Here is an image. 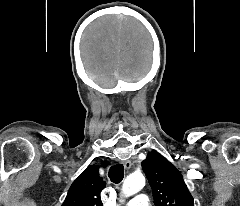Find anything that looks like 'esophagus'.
I'll use <instances>...</instances> for the list:
<instances>
[{
	"label": "esophagus",
	"instance_id": "1",
	"mask_svg": "<svg viewBox=\"0 0 240 206\" xmlns=\"http://www.w3.org/2000/svg\"><path fill=\"white\" fill-rule=\"evenodd\" d=\"M122 163L126 169H130V167L132 165L130 160L123 161Z\"/></svg>",
	"mask_w": 240,
	"mask_h": 206
}]
</instances>
